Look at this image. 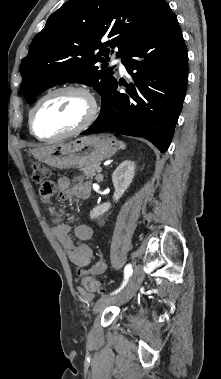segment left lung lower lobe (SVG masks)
<instances>
[{
    "mask_svg": "<svg viewBox=\"0 0 221 379\" xmlns=\"http://www.w3.org/2000/svg\"><path fill=\"white\" fill-rule=\"evenodd\" d=\"M132 77L127 94L113 80L102 95L97 120L81 135L113 132L143 137L160 152L171 142L185 98L188 54L176 16L165 2L152 27L122 59Z\"/></svg>",
    "mask_w": 221,
    "mask_h": 379,
    "instance_id": "0a47b994",
    "label": "left lung lower lobe"
}]
</instances>
